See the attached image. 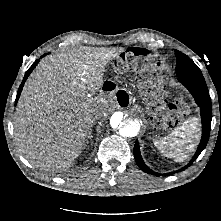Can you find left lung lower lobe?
<instances>
[{"label":"left lung lower lobe","mask_w":221,"mask_h":221,"mask_svg":"<svg viewBox=\"0 0 221 221\" xmlns=\"http://www.w3.org/2000/svg\"><path fill=\"white\" fill-rule=\"evenodd\" d=\"M179 81L189 90V92L193 95L196 103L200 107L201 112V119H202V138L201 142L197 148V151L193 158L190 160V162L182 168L185 169L189 167L196 158L200 155V153L204 150L206 147V144L208 142L209 136H210V130H211V120H212V110H211V99L210 95L207 89V85L205 82V79L202 75H179ZM134 156L135 161L139 168L143 170L146 173L152 174V175H159L158 173L152 171L148 166L144 163L141 154H140V148L138 141L135 142L134 146ZM173 174L166 173V176H169Z\"/></svg>","instance_id":"left-lung-lower-lobe-1"}]
</instances>
